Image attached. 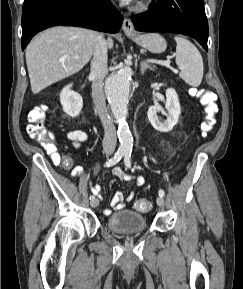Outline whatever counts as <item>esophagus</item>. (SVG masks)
Returning a JSON list of instances; mask_svg holds the SVG:
<instances>
[{"instance_id": "esophagus-1", "label": "esophagus", "mask_w": 243, "mask_h": 289, "mask_svg": "<svg viewBox=\"0 0 243 289\" xmlns=\"http://www.w3.org/2000/svg\"><path fill=\"white\" fill-rule=\"evenodd\" d=\"M122 29L126 34H132L135 32L132 21L127 17H124Z\"/></svg>"}]
</instances>
